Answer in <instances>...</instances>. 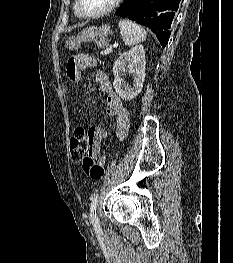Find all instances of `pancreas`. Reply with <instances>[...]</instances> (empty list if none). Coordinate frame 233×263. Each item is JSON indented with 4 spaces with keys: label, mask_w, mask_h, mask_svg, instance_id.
<instances>
[{
    "label": "pancreas",
    "mask_w": 233,
    "mask_h": 263,
    "mask_svg": "<svg viewBox=\"0 0 233 263\" xmlns=\"http://www.w3.org/2000/svg\"><path fill=\"white\" fill-rule=\"evenodd\" d=\"M108 45V42L106 40H99L97 43H96V46L98 48H104Z\"/></svg>",
    "instance_id": "cf45deb5"
}]
</instances>
